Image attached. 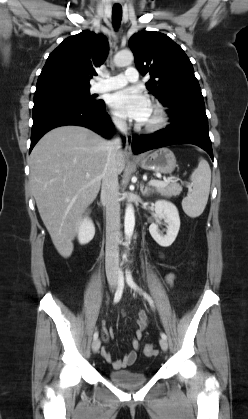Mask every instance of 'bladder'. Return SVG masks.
<instances>
[{"mask_svg": "<svg viewBox=\"0 0 248 419\" xmlns=\"http://www.w3.org/2000/svg\"><path fill=\"white\" fill-rule=\"evenodd\" d=\"M107 375L114 384L123 388L139 387L144 385L148 380L146 374L130 369L110 370Z\"/></svg>", "mask_w": 248, "mask_h": 419, "instance_id": "bladder-1", "label": "bladder"}]
</instances>
